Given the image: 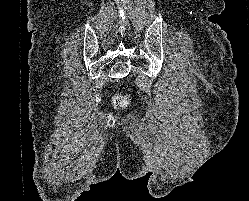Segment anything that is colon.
Returning a JSON list of instances; mask_svg holds the SVG:
<instances>
[{"instance_id": "obj_1", "label": "colon", "mask_w": 249, "mask_h": 201, "mask_svg": "<svg viewBox=\"0 0 249 201\" xmlns=\"http://www.w3.org/2000/svg\"><path fill=\"white\" fill-rule=\"evenodd\" d=\"M113 102L117 107L121 108L126 107L129 103L128 98L123 95L115 96Z\"/></svg>"}]
</instances>
